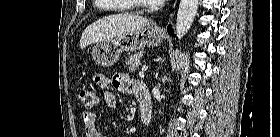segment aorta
<instances>
[{"instance_id": "1", "label": "aorta", "mask_w": 280, "mask_h": 137, "mask_svg": "<svg viewBox=\"0 0 280 137\" xmlns=\"http://www.w3.org/2000/svg\"><path fill=\"white\" fill-rule=\"evenodd\" d=\"M198 4L199 0L180 1L176 19V34L179 38L184 37L190 29L197 13Z\"/></svg>"}]
</instances>
